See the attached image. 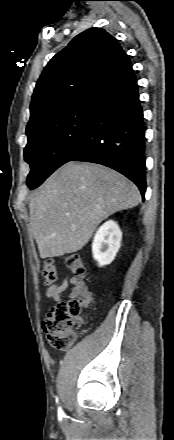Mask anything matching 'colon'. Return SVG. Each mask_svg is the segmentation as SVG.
<instances>
[{
    "label": "colon",
    "instance_id": "obj_1",
    "mask_svg": "<svg viewBox=\"0 0 174 440\" xmlns=\"http://www.w3.org/2000/svg\"><path fill=\"white\" fill-rule=\"evenodd\" d=\"M68 269L76 276L85 278L87 271L81 256L70 253L64 256ZM42 274L47 284H54L58 274L52 260H46ZM82 303L77 299L52 306L43 321V331L48 344L57 350L68 349L75 340V330L83 326Z\"/></svg>",
    "mask_w": 174,
    "mask_h": 440
}]
</instances>
